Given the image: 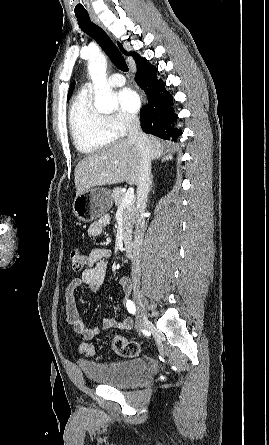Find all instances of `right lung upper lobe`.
I'll use <instances>...</instances> for the list:
<instances>
[{
	"mask_svg": "<svg viewBox=\"0 0 269 445\" xmlns=\"http://www.w3.org/2000/svg\"><path fill=\"white\" fill-rule=\"evenodd\" d=\"M117 44H118L120 50H121L124 54L133 56V58L135 59V62H136V63L143 59V58L140 57V55H139L138 53H136V52H127V51L123 48V46H122L121 43L118 42ZM74 85H75V83L73 82L72 85H71V87H70V90H69L68 98H70V96H71V94H72Z\"/></svg>",
	"mask_w": 269,
	"mask_h": 445,
	"instance_id": "1",
	"label": "right lung upper lobe"
}]
</instances>
